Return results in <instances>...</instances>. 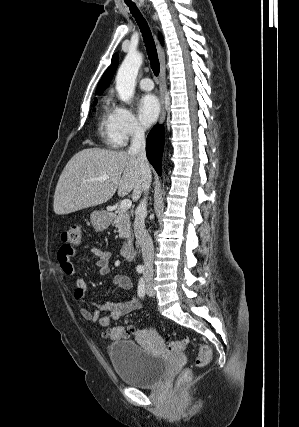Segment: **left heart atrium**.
Listing matches in <instances>:
<instances>
[{
  "label": "left heart atrium",
  "instance_id": "1",
  "mask_svg": "<svg viewBox=\"0 0 299 427\" xmlns=\"http://www.w3.org/2000/svg\"><path fill=\"white\" fill-rule=\"evenodd\" d=\"M160 111L159 101L153 94L142 96L137 104L138 118L144 127L152 125Z\"/></svg>",
  "mask_w": 299,
  "mask_h": 427
}]
</instances>
